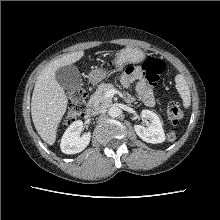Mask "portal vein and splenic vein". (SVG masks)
<instances>
[{"instance_id":"18ae733b","label":"portal vein and splenic vein","mask_w":220,"mask_h":220,"mask_svg":"<svg viewBox=\"0 0 220 220\" xmlns=\"http://www.w3.org/2000/svg\"><path fill=\"white\" fill-rule=\"evenodd\" d=\"M116 93V90L112 89L106 92L107 97H112Z\"/></svg>"}]
</instances>
